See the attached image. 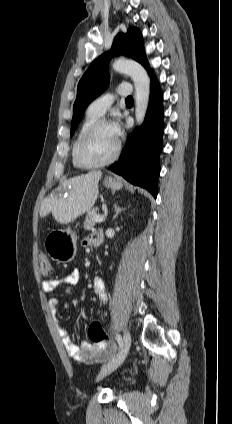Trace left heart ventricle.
<instances>
[{
  "instance_id": "1",
  "label": "left heart ventricle",
  "mask_w": 232,
  "mask_h": 424,
  "mask_svg": "<svg viewBox=\"0 0 232 424\" xmlns=\"http://www.w3.org/2000/svg\"><path fill=\"white\" fill-rule=\"evenodd\" d=\"M117 137L111 125L101 127L83 147V156L87 161L97 162L109 157L115 150Z\"/></svg>"
}]
</instances>
